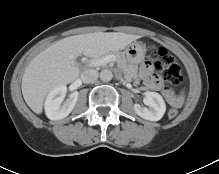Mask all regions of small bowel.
I'll return each mask as SVG.
<instances>
[{
  "instance_id": "c3829d8e",
  "label": "small bowel",
  "mask_w": 219,
  "mask_h": 174,
  "mask_svg": "<svg viewBox=\"0 0 219 174\" xmlns=\"http://www.w3.org/2000/svg\"><path fill=\"white\" fill-rule=\"evenodd\" d=\"M140 76L143 78L148 88L152 90H162L167 102L174 107H180L184 97L164 88L162 81L154 74L150 62L144 63L140 68Z\"/></svg>"
}]
</instances>
